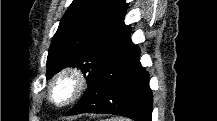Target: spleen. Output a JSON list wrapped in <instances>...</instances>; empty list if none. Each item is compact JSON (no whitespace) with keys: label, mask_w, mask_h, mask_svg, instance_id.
Instances as JSON below:
<instances>
[{"label":"spleen","mask_w":217,"mask_h":121,"mask_svg":"<svg viewBox=\"0 0 217 121\" xmlns=\"http://www.w3.org/2000/svg\"><path fill=\"white\" fill-rule=\"evenodd\" d=\"M111 121H124V120L121 118H115V119H111Z\"/></svg>","instance_id":"obj_1"}]
</instances>
